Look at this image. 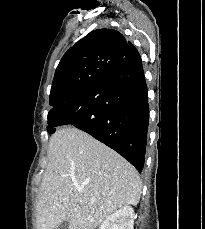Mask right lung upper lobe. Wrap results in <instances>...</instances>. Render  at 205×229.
<instances>
[{"instance_id": "right-lung-upper-lobe-1", "label": "right lung upper lobe", "mask_w": 205, "mask_h": 229, "mask_svg": "<svg viewBox=\"0 0 205 229\" xmlns=\"http://www.w3.org/2000/svg\"><path fill=\"white\" fill-rule=\"evenodd\" d=\"M133 46L114 29H97L71 47L59 62L50 92V105H59L101 80L118 66Z\"/></svg>"}]
</instances>
